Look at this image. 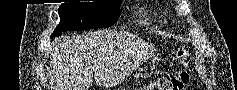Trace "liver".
I'll return each mask as SVG.
<instances>
[{
  "label": "liver",
  "mask_w": 237,
  "mask_h": 90,
  "mask_svg": "<svg viewBox=\"0 0 237 90\" xmlns=\"http://www.w3.org/2000/svg\"><path fill=\"white\" fill-rule=\"evenodd\" d=\"M114 36L108 32H91L73 38H56L51 54V72L57 82L53 90H88L92 86V68L112 60Z\"/></svg>",
  "instance_id": "6515ba94"
}]
</instances>
